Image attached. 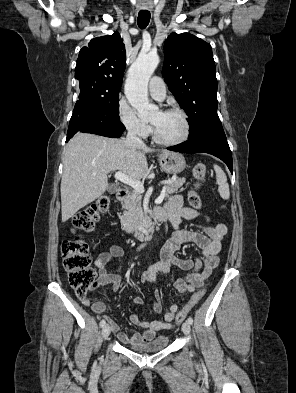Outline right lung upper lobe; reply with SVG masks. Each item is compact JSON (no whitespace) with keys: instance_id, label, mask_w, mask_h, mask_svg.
<instances>
[{"instance_id":"1","label":"right lung upper lobe","mask_w":296,"mask_h":393,"mask_svg":"<svg viewBox=\"0 0 296 393\" xmlns=\"http://www.w3.org/2000/svg\"><path fill=\"white\" fill-rule=\"evenodd\" d=\"M126 67V52L118 32L94 38L83 47L77 59L75 78L80 83L93 81L113 90H121Z\"/></svg>"}]
</instances>
